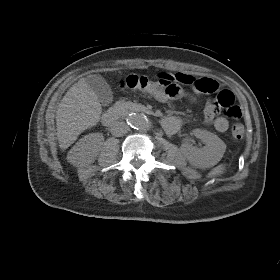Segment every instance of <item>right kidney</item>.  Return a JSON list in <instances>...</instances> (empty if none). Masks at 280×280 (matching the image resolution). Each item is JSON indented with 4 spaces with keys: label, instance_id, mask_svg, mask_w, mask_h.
<instances>
[{
    "label": "right kidney",
    "instance_id": "obj_1",
    "mask_svg": "<svg viewBox=\"0 0 280 280\" xmlns=\"http://www.w3.org/2000/svg\"><path fill=\"white\" fill-rule=\"evenodd\" d=\"M103 140V136L98 133L86 135L80 139L74 150L78 151L77 154L82 160L91 162L97 157Z\"/></svg>",
    "mask_w": 280,
    "mask_h": 280
}]
</instances>
